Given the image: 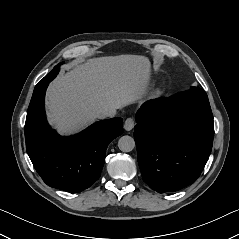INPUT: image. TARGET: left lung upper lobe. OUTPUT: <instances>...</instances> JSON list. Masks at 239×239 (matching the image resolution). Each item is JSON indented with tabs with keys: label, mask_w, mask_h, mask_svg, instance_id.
Instances as JSON below:
<instances>
[{
	"label": "left lung upper lobe",
	"mask_w": 239,
	"mask_h": 239,
	"mask_svg": "<svg viewBox=\"0 0 239 239\" xmlns=\"http://www.w3.org/2000/svg\"><path fill=\"white\" fill-rule=\"evenodd\" d=\"M191 90H195V91H198V92H204L203 89L199 88V87H191Z\"/></svg>",
	"instance_id": "5c2ea615"
}]
</instances>
